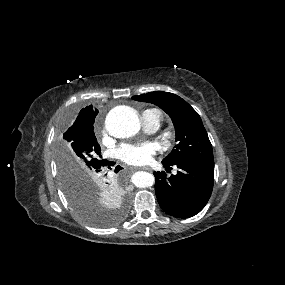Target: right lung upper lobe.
Masks as SVG:
<instances>
[{
  "label": "right lung upper lobe",
  "mask_w": 285,
  "mask_h": 285,
  "mask_svg": "<svg viewBox=\"0 0 285 285\" xmlns=\"http://www.w3.org/2000/svg\"><path fill=\"white\" fill-rule=\"evenodd\" d=\"M97 113L98 110H94L91 105L83 108L79 112V115L77 116L74 124L67 130V132L84 131L93 128L95 116Z\"/></svg>",
  "instance_id": "cb5924a9"
}]
</instances>
